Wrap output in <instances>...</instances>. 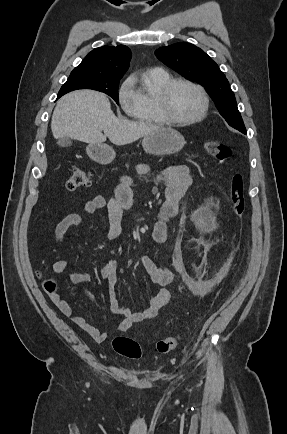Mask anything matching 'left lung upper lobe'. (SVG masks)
Returning a JSON list of instances; mask_svg holds the SVG:
<instances>
[{"label": "left lung upper lobe", "mask_w": 287, "mask_h": 434, "mask_svg": "<svg viewBox=\"0 0 287 434\" xmlns=\"http://www.w3.org/2000/svg\"><path fill=\"white\" fill-rule=\"evenodd\" d=\"M155 55L186 79L204 86L227 123L238 130H245L228 80L202 49L191 43L180 42L157 49Z\"/></svg>", "instance_id": "left-lung-upper-lobe-1"}]
</instances>
